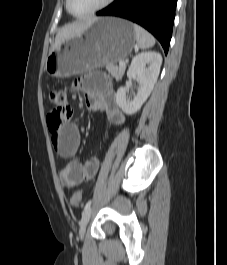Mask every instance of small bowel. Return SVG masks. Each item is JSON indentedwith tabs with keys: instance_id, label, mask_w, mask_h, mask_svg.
Returning <instances> with one entry per match:
<instances>
[{
	"instance_id": "1",
	"label": "small bowel",
	"mask_w": 227,
	"mask_h": 265,
	"mask_svg": "<svg viewBox=\"0 0 227 265\" xmlns=\"http://www.w3.org/2000/svg\"><path fill=\"white\" fill-rule=\"evenodd\" d=\"M106 72H88L85 77L75 83V87L84 94L85 104L92 112H102L114 126L125 123V115L115 100L114 90L106 77ZM78 126L69 123L51 137L52 146L58 156L65 159L73 158L80 145ZM99 160L88 159L83 163L77 160L69 161L61 172V181L68 188L78 186L92 179L98 172Z\"/></svg>"
}]
</instances>
